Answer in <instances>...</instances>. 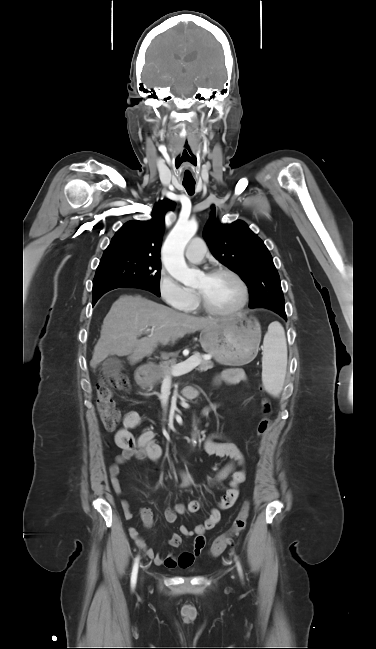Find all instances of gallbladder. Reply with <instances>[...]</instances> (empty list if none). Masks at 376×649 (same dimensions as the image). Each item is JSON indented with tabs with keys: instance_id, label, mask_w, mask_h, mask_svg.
Instances as JSON below:
<instances>
[{
	"instance_id": "gallbladder-1",
	"label": "gallbladder",
	"mask_w": 376,
	"mask_h": 649,
	"mask_svg": "<svg viewBox=\"0 0 376 649\" xmlns=\"http://www.w3.org/2000/svg\"><path fill=\"white\" fill-rule=\"evenodd\" d=\"M123 368L122 362L114 357L109 356L103 363L102 370L109 376H114Z\"/></svg>"
}]
</instances>
